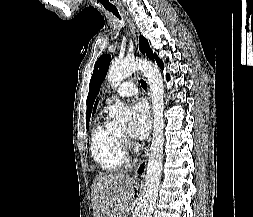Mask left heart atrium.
<instances>
[{
	"label": "left heart atrium",
	"mask_w": 253,
	"mask_h": 217,
	"mask_svg": "<svg viewBox=\"0 0 253 217\" xmlns=\"http://www.w3.org/2000/svg\"><path fill=\"white\" fill-rule=\"evenodd\" d=\"M150 130V116L147 106L143 102H136L131 109L130 136L137 140L147 137Z\"/></svg>",
	"instance_id": "1"
}]
</instances>
